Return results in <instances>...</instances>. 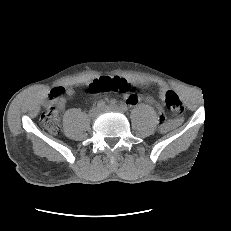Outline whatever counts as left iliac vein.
Masks as SVG:
<instances>
[{
	"instance_id": "4c4485c4",
	"label": "left iliac vein",
	"mask_w": 231,
	"mask_h": 231,
	"mask_svg": "<svg viewBox=\"0 0 231 231\" xmlns=\"http://www.w3.org/2000/svg\"><path fill=\"white\" fill-rule=\"evenodd\" d=\"M103 111H119L123 112V110L117 105H107L103 108Z\"/></svg>"
}]
</instances>
